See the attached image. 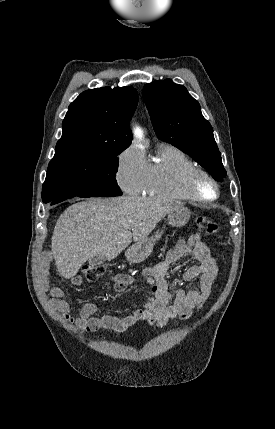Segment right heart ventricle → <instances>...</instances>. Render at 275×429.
I'll use <instances>...</instances> for the list:
<instances>
[{
  "label": "right heart ventricle",
  "mask_w": 275,
  "mask_h": 429,
  "mask_svg": "<svg viewBox=\"0 0 275 429\" xmlns=\"http://www.w3.org/2000/svg\"><path fill=\"white\" fill-rule=\"evenodd\" d=\"M147 167L144 193L165 199L192 200L186 191L185 180L198 167L184 151L174 145L163 144Z\"/></svg>",
  "instance_id": "obj_1"
}]
</instances>
